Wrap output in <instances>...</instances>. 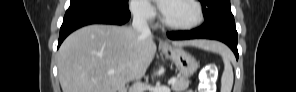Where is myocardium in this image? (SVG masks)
<instances>
[{
	"label": "myocardium",
	"mask_w": 296,
	"mask_h": 92,
	"mask_svg": "<svg viewBox=\"0 0 296 92\" xmlns=\"http://www.w3.org/2000/svg\"><path fill=\"white\" fill-rule=\"evenodd\" d=\"M184 1L190 2L195 7L196 15H197L196 20L192 23H189V24H183V25L173 24V23H170L165 18V15H163L161 20H162V24L165 27L172 29V30H192V29L199 27L202 24V22L204 21V10H203L201 4L196 0H184Z\"/></svg>",
	"instance_id": "f54148a6"
}]
</instances>
